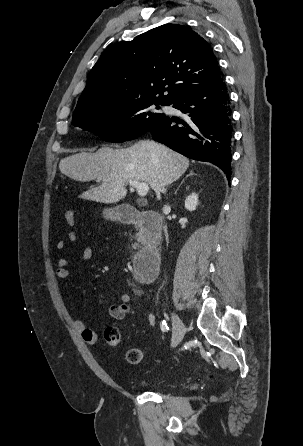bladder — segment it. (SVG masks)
<instances>
[{"label": "bladder", "mask_w": 303, "mask_h": 446, "mask_svg": "<svg viewBox=\"0 0 303 446\" xmlns=\"http://www.w3.org/2000/svg\"><path fill=\"white\" fill-rule=\"evenodd\" d=\"M161 382H162L161 379H156V378H145L139 381V383L143 386H156L159 385Z\"/></svg>", "instance_id": "obj_1"}]
</instances>
